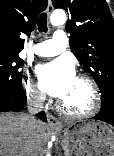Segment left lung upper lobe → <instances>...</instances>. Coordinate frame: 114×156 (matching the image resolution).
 <instances>
[{
	"instance_id": "obj_1",
	"label": "left lung upper lobe",
	"mask_w": 114,
	"mask_h": 156,
	"mask_svg": "<svg viewBox=\"0 0 114 156\" xmlns=\"http://www.w3.org/2000/svg\"><path fill=\"white\" fill-rule=\"evenodd\" d=\"M71 18L65 26L70 33L71 51L98 84L101 108H114V19L105 0H52Z\"/></svg>"
}]
</instances>
